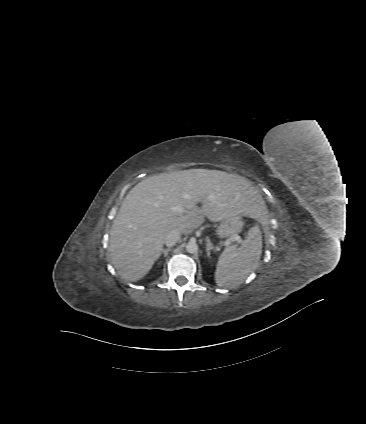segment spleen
Wrapping results in <instances>:
<instances>
[{
	"label": "spleen",
	"mask_w": 366,
	"mask_h": 424,
	"mask_svg": "<svg viewBox=\"0 0 366 424\" xmlns=\"http://www.w3.org/2000/svg\"><path fill=\"white\" fill-rule=\"evenodd\" d=\"M262 253V235L258 226L248 231L247 238L237 248H225L218 259L215 281L219 286L235 288L254 271Z\"/></svg>",
	"instance_id": "3e777b00"
}]
</instances>
